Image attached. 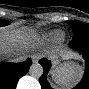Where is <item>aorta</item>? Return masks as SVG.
<instances>
[{
	"mask_svg": "<svg viewBox=\"0 0 89 89\" xmlns=\"http://www.w3.org/2000/svg\"><path fill=\"white\" fill-rule=\"evenodd\" d=\"M29 74L34 78H39L43 74V67L39 63H34L29 69Z\"/></svg>",
	"mask_w": 89,
	"mask_h": 89,
	"instance_id": "1",
	"label": "aorta"
}]
</instances>
